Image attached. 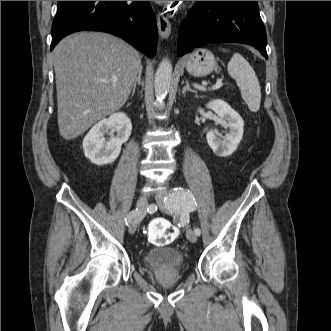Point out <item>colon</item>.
<instances>
[{"instance_id": "1", "label": "colon", "mask_w": 331, "mask_h": 331, "mask_svg": "<svg viewBox=\"0 0 331 331\" xmlns=\"http://www.w3.org/2000/svg\"><path fill=\"white\" fill-rule=\"evenodd\" d=\"M146 234L150 242L164 246L178 236V229L167 219L155 218L148 224Z\"/></svg>"}]
</instances>
